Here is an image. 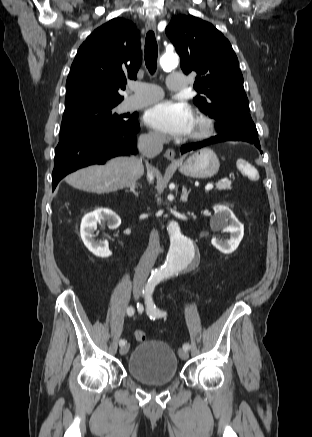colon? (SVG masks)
<instances>
[{
  "label": "colon",
  "instance_id": "5ec220e1",
  "mask_svg": "<svg viewBox=\"0 0 312 437\" xmlns=\"http://www.w3.org/2000/svg\"><path fill=\"white\" fill-rule=\"evenodd\" d=\"M134 337L137 341H145L146 340V334L143 330H136L134 332Z\"/></svg>",
  "mask_w": 312,
  "mask_h": 437
}]
</instances>
